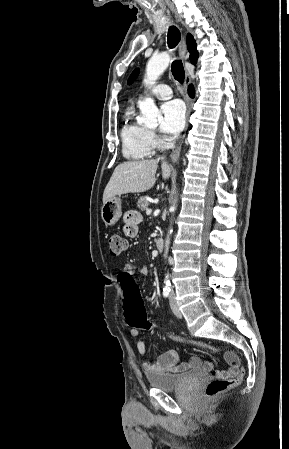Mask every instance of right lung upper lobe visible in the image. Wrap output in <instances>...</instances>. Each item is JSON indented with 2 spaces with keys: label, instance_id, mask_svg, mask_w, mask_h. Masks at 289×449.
I'll return each mask as SVG.
<instances>
[{
  "label": "right lung upper lobe",
  "instance_id": "cb5924a9",
  "mask_svg": "<svg viewBox=\"0 0 289 449\" xmlns=\"http://www.w3.org/2000/svg\"><path fill=\"white\" fill-rule=\"evenodd\" d=\"M187 48L190 51V61L192 64H196L198 58V52L196 49V43L191 34L187 35Z\"/></svg>",
  "mask_w": 289,
  "mask_h": 449
}]
</instances>
